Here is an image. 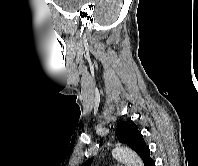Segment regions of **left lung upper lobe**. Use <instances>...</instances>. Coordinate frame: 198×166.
Masks as SVG:
<instances>
[{"label": "left lung upper lobe", "instance_id": "5c2ea615", "mask_svg": "<svg viewBox=\"0 0 198 166\" xmlns=\"http://www.w3.org/2000/svg\"><path fill=\"white\" fill-rule=\"evenodd\" d=\"M116 135L121 143L127 144L132 150L137 152L144 164L150 158V149L146 145L141 132L132 121H127L116 130ZM93 158L88 159L82 166H91Z\"/></svg>", "mask_w": 198, "mask_h": 166}]
</instances>
